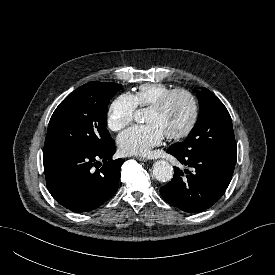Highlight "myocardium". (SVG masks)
<instances>
[{"label": "myocardium", "instance_id": "obj_1", "mask_svg": "<svg viewBox=\"0 0 275 275\" xmlns=\"http://www.w3.org/2000/svg\"><path fill=\"white\" fill-rule=\"evenodd\" d=\"M177 94H182V95L186 96L188 98V100L190 101L191 116H190L188 124L186 125V127L184 129H182L181 131H179L177 133L167 134L165 136L168 140H171V141H178V140L184 139L194 130L196 123L198 121V117H199V105H198L197 98L188 89L175 88V89H171L168 92H166L165 94H163L155 103H153L149 107V109L160 111L167 105L169 100Z\"/></svg>", "mask_w": 275, "mask_h": 275}]
</instances>
